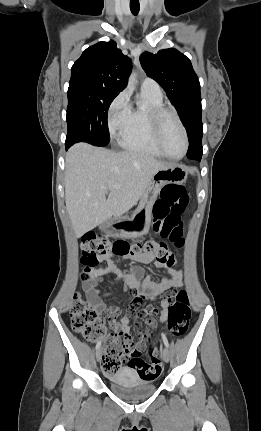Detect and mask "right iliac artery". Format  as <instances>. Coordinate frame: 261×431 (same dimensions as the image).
<instances>
[{
    "mask_svg": "<svg viewBox=\"0 0 261 431\" xmlns=\"http://www.w3.org/2000/svg\"><path fill=\"white\" fill-rule=\"evenodd\" d=\"M100 346H101V341H99V342L97 343V345H96V350H98V349L100 348Z\"/></svg>",
    "mask_w": 261,
    "mask_h": 431,
    "instance_id": "right-iliac-artery-1",
    "label": "right iliac artery"
}]
</instances>
